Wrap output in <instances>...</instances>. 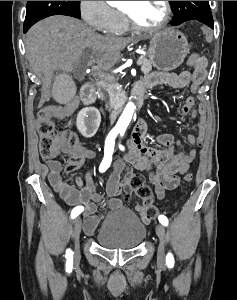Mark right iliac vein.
<instances>
[{
    "instance_id": "1",
    "label": "right iliac vein",
    "mask_w": 237,
    "mask_h": 300,
    "mask_svg": "<svg viewBox=\"0 0 237 300\" xmlns=\"http://www.w3.org/2000/svg\"><path fill=\"white\" fill-rule=\"evenodd\" d=\"M81 227H82L81 218L77 217L75 219V223H74V243H75V253H76V255H79V253H80L79 236H80V233H81Z\"/></svg>"
}]
</instances>
